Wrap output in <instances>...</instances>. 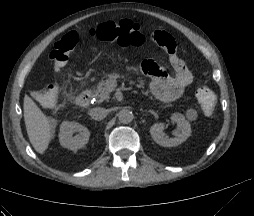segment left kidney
Wrapping results in <instances>:
<instances>
[{
    "instance_id": "1",
    "label": "left kidney",
    "mask_w": 254,
    "mask_h": 216,
    "mask_svg": "<svg viewBox=\"0 0 254 216\" xmlns=\"http://www.w3.org/2000/svg\"><path fill=\"white\" fill-rule=\"evenodd\" d=\"M171 121L177 123L180 132L176 134L174 138H169L164 132V123H155L150 128V134L153 140L164 147L178 146L184 142L188 137L191 136V126L190 123L185 119V117L180 113H174L171 116Z\"/></svg>"
}]
</instances>
